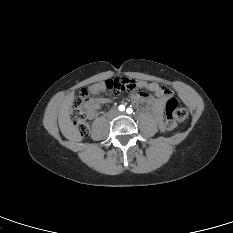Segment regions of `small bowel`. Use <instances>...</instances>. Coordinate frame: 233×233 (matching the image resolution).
Listing matches in <instances>:
<instances>
[{"label":"small bowel","mask_w":233,"mask_h":233,"mask_svg":"<svg viewBox=\"0 0 233 233\" xmlns=\"http://www.w3.org/2000/svg\"><path fill=\"white\" fill-rule=\"evenodd\" d=\"M140 89V92L134 91ZM133 89L129 98L131 103L136 107H141L152 114L156 122L161 126L165 111V105L169 98H172V91L166 86L159 85L155 82L136 81V87ZM152 92L154 95L149 94ZM91 101L88 107V117L94 118L98 110L105 104L111 102L108 98L112 91L106 89L105 83H97L90 87ZM104 95V97H102Z\"/></svg>","instance_id":"1"}]
</instances>
